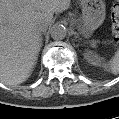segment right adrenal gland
Returning a JSON list of instances; mask_svg holds the SVG:
<instances>
[{
  "mask_svg": "<svg viewBox=\"0 0 119 119\" xmlns=\"http://www.w3.org/2000/svg\"><path fill=\"white\" fill-rule=\"evenodd\" d=\"M40 46H42V37L40 38Z\"/></svg>",
  "mask_w": 119,
  "mask_h": 119,
  "instance_id": "1",
  "label": "right adrenal gland"
}]
</instances>
